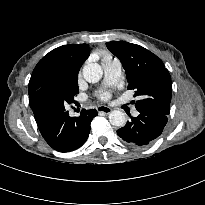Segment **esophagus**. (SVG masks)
<instances>
[{"label":"esophagus","instance_id":"esophagus-1","mask_svg":"<svg viewBox=\"0 0 205 205\" xmlns=\"http://www.w3.org/2000/svg\"><path fill=\"white\" fill-rule=\"evenodd\" d=\"M97 111L99 113L109 114L112 111V109L110 107H107V106H98Z\"/></svg>","mask_w":205,"mask_h":205}]
</instances>
